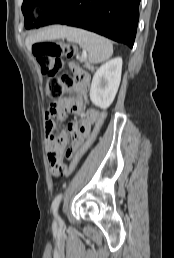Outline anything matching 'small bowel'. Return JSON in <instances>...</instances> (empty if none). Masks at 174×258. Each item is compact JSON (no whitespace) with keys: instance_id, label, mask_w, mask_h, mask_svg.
Returning <instances> with one entry per match:
<instances>
[{"instance_id":"1","label":"small bowel","mask_w":174,"mask_h":258,"mask_svg":"<svg viewBox=\"0 0 174 258\" xmlns=\"http://www.w3.org/2000/svg\"><path fill=\"white\" fill-rule=\"evenodd\" d=\"M69 67L75 73L78 80V95L72 100L61 99L52 103L45 115L46 143L48 158L52 167V178H63V175H68L65 163L69 162L68 158L80 147L84 141V137L90 134L93 123H96V118H84L80 125L76 122L69 123L68 130L72 134V142L68 147L67 133L61 132L59 135L55 134L56 122L64 120L67 112L78 113L81 111L82 95L90 82V75L76 64L70 63ZM98 112L97 104H88L86 112H83V117H96V113Z\"/></svg>"}]
</instances>
